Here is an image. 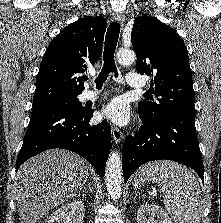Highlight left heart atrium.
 Listing matches in <instances>:
<instances>
[{
    "instance_id": "left-heart-atrium-1",
    "label": "left heart atrium",
    "mask_w": 221,
    "mask_h": 223,
    "mask_svg": "<svg viewBox=\"0 0 221 223\" xmlns=\"http://www.w3.org/2000/svg\"><path fill=\"white\" fill-rule=\"evenodd\" d=\"M103 117L118 125H125L131 118L130 109L122 97L112 99L102 112Z\"/></svg>"
}]
</instances>
